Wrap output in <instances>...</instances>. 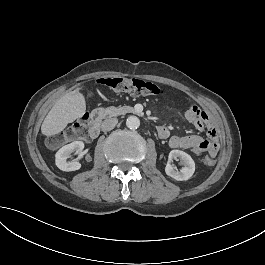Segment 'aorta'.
Listing matches in <instances>:
<instances>
[{"label": "aorta", "mask_w": 265, "mask_h": 265, "mask_svg": "<svg viewBox=\"0 0 265 265\" xmlns=\"http://www.w3.org/2000/svg\"><path fill=\"white\" fill-rule=\"evenodd\" d=\"M126 125L131 130H136L140 126V119L136 116H130L126 120Z\"/></svg>", "instance_id": "obj_1"}]
</instances>
